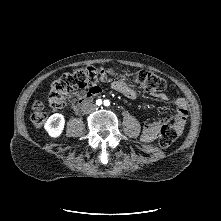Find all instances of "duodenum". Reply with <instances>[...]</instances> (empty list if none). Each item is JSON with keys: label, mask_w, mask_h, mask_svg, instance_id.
I'll return each mask as SVG.
<instances>
[{"label": "duodenum", "mask_w": 221, "mask_h": 221, "mask_svg": "<svg viewBox=\"0 0 221 221\" xmlns=\"http://www.w3.org/2000/svg\"><path fill=\"white\" fill-rule=\"evenodd\" d=\"M93 99L92 95H86L83 97L78 104V109L84 108L91 100Z\"/></svg>", "instance_id": "obj_1"}]
</instances>
